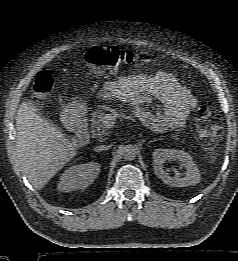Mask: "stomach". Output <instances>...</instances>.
<instances>
[{
    "label": "stomach",
    "mask_w": 238,
    "mask_h": 261,
    "mask_svg": "<svg viewBox=\"0 0 238 261\" xmlns=\"http://www.w3.org/2000/svg\"><path fill=\"white\" fill-rule=\"evenodd\" d=\"M85 111V105L82 102H74L71 104L67 110V112L71 115L77 116L81 115Z\"/></svg>",
    "instance_id": "1"
}]
</instances>
